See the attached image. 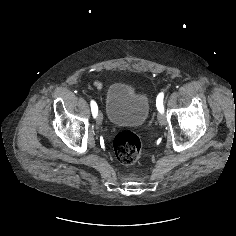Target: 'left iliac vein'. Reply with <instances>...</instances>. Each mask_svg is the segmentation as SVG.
<instances>
[{
    "mask_svg": "<svg viewBox=\"0 0 236 236\" xmlns=\"http://www.w3.org/2000/svg\"><path fill=\"white\" fill-rule=\"evenodd\" d=\"M158 121L161 125H165L167 122L165 116L162 113L158 114Z\"/></svg>",
    "mask_w": 236,
    "mask_h": 236,
    "instance_id": "1",
    "label": "left iliac vein"
}]
</instances>
